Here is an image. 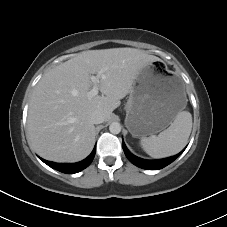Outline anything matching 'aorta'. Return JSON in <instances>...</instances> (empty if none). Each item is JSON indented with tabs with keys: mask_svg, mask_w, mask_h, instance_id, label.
<instances>
[{
	"mask_svg": "<svg viewBox=\"0 0 227 227\" xmlns=\"http://www.w3.org/2000/svg\"><path fill=\"white\" fill-rule=\"evenodd\" d=\"M109 130L112 134H119L121 132V125L118 122H112L109 126Z\"/></svg>",
	"mask_w": 227,
	"mask_h": 227,
	"instance_id": "762f6f07",
	"label": "aorta"
}]
</instances>
